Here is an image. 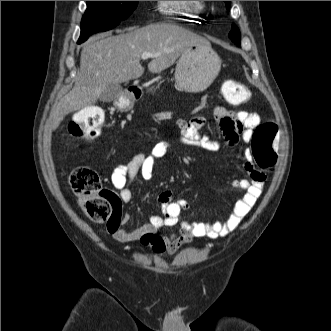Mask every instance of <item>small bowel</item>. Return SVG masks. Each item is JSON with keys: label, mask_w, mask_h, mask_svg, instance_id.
I'll use <instances>...</instances> for the list:
<instances>
[{"label": "small bowel", "mask_w": 331, "mask_h": 331, "mask_svg": "<svg viewBox=\"0 0 331 331\" xmlns=\"http://www.w3.org/2000/svg\"><path fill=\"white\" fill-rule=\"evenodd\" d=\"M213 120L219 125L225 143L229 147L235 146L240 137L244 142L252 139L254 129L260 124V117L245 111H229L222 106L213 109ZM207 124L204 116H194L190 119H178L181 132V142L188 146H195L209 151L220 148V140L203 134L201 129ZM172 150L167 141L156 143L148 154L139 153L130 161L117 165L111 174V183L119 193L121 202L128 203L132 198L130 185L134 178L141 174L144 179H151L155 163ZM244 169L248 179H237L232 186L245 193L234 205L232 213L225 222H189L181 219V214L189 210L185 200H172L170 191L159 194L158 200L162 206L163 216L152 215L150 221L135 229L113 227L109 229L112 237L121 243L139 241L143 246L150 248L156 255L174 254L184 244L190 243L194 238H218L228 235L235 229L244 217L251 211L262 194L266 175L258 169L253 162V153L247 149L244 153ZM130 216L125 214L121 224L129 222ZM179 225V230L173 234L160 235L157 231L161 227Z\"/></svg>", "instance_id": "obj_1"}]
</instances>
